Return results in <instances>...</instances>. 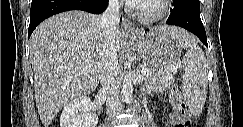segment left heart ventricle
<instances>
[{
	"instance_id": "left-heart-ventricle-1",
	"label": "left heart ventricle",
	"mask_w": 243,
	"mask_h": 127,
	"mask_svg": "<svg viewBox=\"0 0 243 127\" xmlns=\"http://www.w3.org/2000/svg\"><path fill=\"white\" fill-rule=\"evenodd\" d=\"M159 8L160 2L158 0H145L141 5V10L147 13L156 12Z\"/></svg>"
}]
</instances>
